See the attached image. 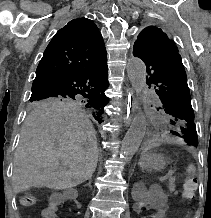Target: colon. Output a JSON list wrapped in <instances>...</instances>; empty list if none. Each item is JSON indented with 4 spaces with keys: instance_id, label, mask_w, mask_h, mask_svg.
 <instances>
[{
    "instance_id": "obj_1",
    "label": "colon",
    "mask_w": 211,
    "mask_h": 218,
    "mask_svg": "<svg viewBox=\"0 0 211 218\" xmlns=\"http://www.w3.org/2000/svg\"><path fill=\"white\" fill-rule=\"evenodd\" d=\"M196 188H197L196 180L194 179L187 180L184 185V193H183L184 197L186 199H192L194 197ZM34 200L35 199L31 194H26L22 199V203L25 206H29L34 203Z\"/></svg>"
}]
</instances>
